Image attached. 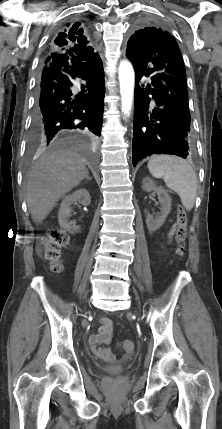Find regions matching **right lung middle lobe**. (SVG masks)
I'll list each match as a JSON object with an SVG mask.
<instances>
[{
	"mask_svg": "<svg viewBox=\"0 0 222 429\" xmlns=\"http://www.w3.org/2000/svg\"><path fill=\"white\" fill-rule=\"evenodd\" d=\"M32 138V140H34V138L33 137H31ZM40 143H42L41 141H39ZM43 144V143H42Z\"/></svg>",
	"mask_w": 222,
	"mask_h": 429,
	"instance_id": "obj_1",
	"label": "right lung middle lobe"
}]
</instances>
